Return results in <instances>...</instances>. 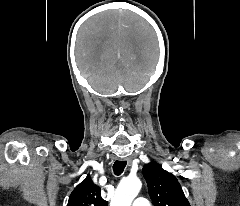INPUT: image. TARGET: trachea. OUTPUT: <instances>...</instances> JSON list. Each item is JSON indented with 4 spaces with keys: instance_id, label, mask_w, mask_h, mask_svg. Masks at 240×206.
I'll list each match as a JSON object with an SVG mask.
<instances>
[{
    "instance_id": "3493384b",
    "label": "trachea",
    "mask_w": 240,
    "mask_h": 206,
    "mask_svg": "<svg viewBox=\"0 0 240 206\" xmlns=\"http://www.w3.org/2000/svg\"><path fill=\"white\" fill-rule=\"evenodd\" d=\"M127 162L126 161H115L113 165V171L116 175L122 174L126 167Z\"/></svg>"
}]
</instances>
